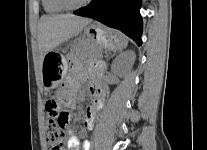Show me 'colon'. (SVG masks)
Listing matches in <instances>:
<instances>
[{
	"label": "colon",
	"mask_w": 207,
	"mask_h": 150,
	"mask_svg": "<svg viewBox=\"0 0 207 150\" xmlns=\"http://www.w3.org/2000/svg\"><path fill=\"white\" fill-rule=\"evenodd\" d=\"M45 110L47 116L45 134L49 150H65V127L69 114L56 99H49Z\"/></svg>",
	"instance_id": "obj_1"
}]
</instances>
